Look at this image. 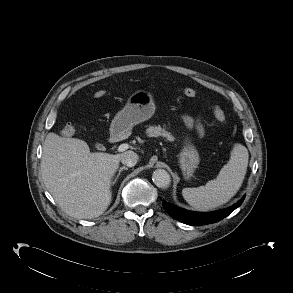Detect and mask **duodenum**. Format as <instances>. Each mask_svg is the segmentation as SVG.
I'll list each match as a JSON object with an SVG mask.
<instances>
[{"label": "duodenum", "instance_id": "duodenum-1", "mask_svg": "<svg viewBox=\"0 0 293 293\" xmlns=\"http://www.w3.org/2000/svg\"><path fill=\"white\" fill-rule=\"evenodd\" d=\"M124 138H125V134L123 132H121V131H115L112 134L110 140H111L112 143H117V142L122 141Z\"/></svg>", "mask_w": 293, "mask_h": 293}]
</instances>
